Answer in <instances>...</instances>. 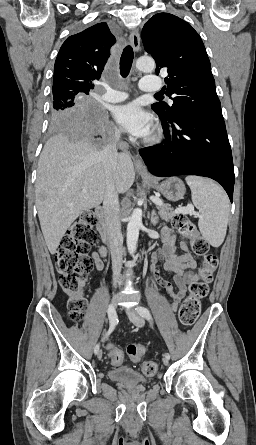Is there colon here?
Segmentation results:
<instances>
[{
	"mask_svg": "<svg viewBox=\"0 0 256 445\" xmlns=\"http://www.w3.org/2000/svg\"><path fill=\"white\" fill-rule=\"evenodd\" d=\"M95 222L96 215L92 210L81 213L62 238L55 256L59 285L68 297V316L72 320H78L86 307L83 289L87 277L93 269L88 253L96 241L93 230ZM173 225L180 235L190 240L192 252L202 258L199 279L190 284L189 294L178 312L180 323L190 326L198 318L201 301L209 292V285L217 268V257L209 251V244L200 236L196 226L187 216L176 215ZM144 353L145 350L140 345L131 344L127 347V354L134 362L140 361ZM110 358L112 363L120 364L123 354L121 351L113 349ZM157 369L158 366L154 361H146L142 366L143 373L148 377L155 375Z\"/></svg>",
	"mask_w": 256,
	"mask_h": 445,
	"instance_id": "colon-1",
	"label": "colon"
}]
</instances>
